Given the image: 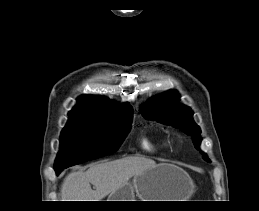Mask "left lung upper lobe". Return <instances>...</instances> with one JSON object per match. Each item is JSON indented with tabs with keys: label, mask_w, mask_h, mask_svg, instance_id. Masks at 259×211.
I'll return each instance as SVG.
<instances>
[{
	"label": "left lung upper lobe",
	"mask_w": 259,
	"mask_h": 211,
	"mask_svg": "<svg viewBox=\"0 0 259 211\" xmlns=\"http://www.w3.org/2000/svg\"><path fill=\"white\" fill-rule=\"evenodd\" d=\"M178 99L179 96L176 91H169L150 100L143 108L142 115L146 119L157 120L180 129L193 137L195 148L199 149L201 143L200 128L193 121L192 110L179 104ZM204 159L209 161L207 157H204Z\"/></svg>",
	"instance_id": "5c2ea615"
}]
</instances>
